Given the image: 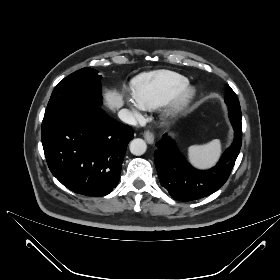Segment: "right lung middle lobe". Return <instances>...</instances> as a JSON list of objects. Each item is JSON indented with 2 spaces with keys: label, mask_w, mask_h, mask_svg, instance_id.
I'll return each mask as SVG.
<instances>
[{
  "label": "right lung middle lobe",
  "mask_w": 280,
  "mask_h": 280,
  "mask_svg": "<svg viewBox=\"0 0 280 280\" xmlns=\"http://www.w3.org/2000/svg\"><path fill=\"white\" fill-rule=\"evenodd\" d=\"M100 79L97 71L89 67L70 74L56 85L45 113L63 105L100 106Z\"/></svg>",
  "instance_id": "obj_1"
}]
</instances>
